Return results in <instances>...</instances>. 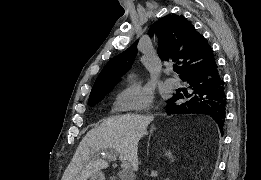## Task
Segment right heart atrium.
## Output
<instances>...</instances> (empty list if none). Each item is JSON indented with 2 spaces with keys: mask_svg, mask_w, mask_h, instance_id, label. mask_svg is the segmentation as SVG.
Returning <instances> with one entry per match:
<instances>
[{
  "mask_svg": "<svg viewBox=\"0 0 261 180\" xmlns=\"http://www.w3.org/2000/svg\"><path fill=\"white\" fill-rule=\"evenodd\" d=\"M154 94L147 86L133 84L116 95V102L125 109V112H134V108H148L154 104Z\"/></svg>",
  "mask_w": 261,
  "mask_h": 180,
  "instance_id": "obj_1",
  "label": "right heart atrium"
}]
</instances>
